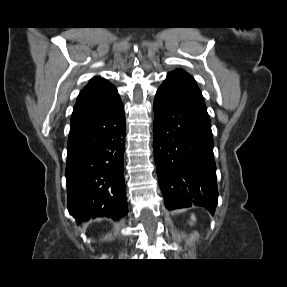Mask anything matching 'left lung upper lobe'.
Returning <instances> with one entry per match:
<instances>
[{"instance_id":"left-lung-upper-lobe-1","label":"left lung upper lobe","mask_w":287,"mask_h":287,"mask_svg":"<svg viewBox=\"0 0 287 287\" xmlns=\"http://www.w3.org/2000/svg\"><path fill=\"white\" fill-rule=\"evenodd\" d=\"M162 85L167 86L189 108L210 120L201 91L187 72L181 69L169 72Z\"/></svg>"}]
</instances>
